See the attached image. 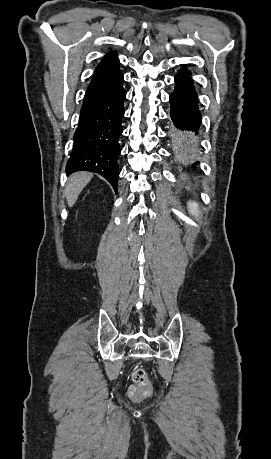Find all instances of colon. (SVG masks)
Wrapping results in <instances>:
<instances>
[{
  "label": "colon",
  "instance_id": "obj_1",
  "mask_svg": "<svg viewBox=\"0 0 271 459\" xmlns=\"http://www.w3.org/2000/svg\"><path fill=\"white\" fill-rule=\"evenodd\" d=\"M133 385L129 388L128 394L131 399L139 400L149 397L152 394V386L143 368H137L132 374Z\"/></svg>",
  "mask_w": 271,
  "mask_h": 459
}]
</instances>
